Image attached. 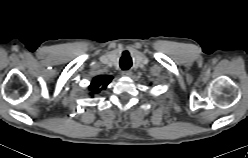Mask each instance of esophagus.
Listing matches in <instances>:
<instances>
[{"mask_svg": "<svg viewBox=\"0 0 248 158\" xmlns=\"http://www.w3.org/2000/svg\"><path fill=\"white\" fill-rule=\"evenodd\" d=\"M122 76L129 77L132 75V72L130 70H124L121 72Z\"/></svg>", "mask_w": 248, "mask_h": 158, "instance_id": "34e87169", "label": "esophagus"}]
</instances>
